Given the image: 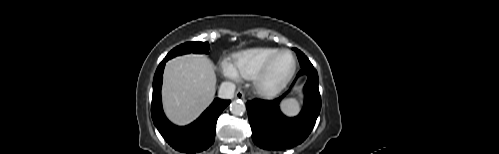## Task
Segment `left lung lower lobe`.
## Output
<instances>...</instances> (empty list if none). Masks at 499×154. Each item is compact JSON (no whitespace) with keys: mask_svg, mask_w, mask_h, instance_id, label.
Here are the masks:
<instances>
[{"mask_svg":"<svg viewBox=\"0 0 499 154\" xmlns=\"http://www.w3.org/2000/svg\"><path fill=\"white\" fill-rule=\"evenodd\" d=\"M301 75H306L308 79L303 89L304 106L298 116L289 118L283 115L279 109L281 98L272 101L254 99L247 102L252 139L262 149H289L302 143L312 131L321 110L318 74L314 68L302 67L298 76Z\"/></svg>","mask_w":499,"mask_h":154,"instance_id":"left-lung-lower-lobe-1","label":"left lung lower lobe"}]
</instances>
